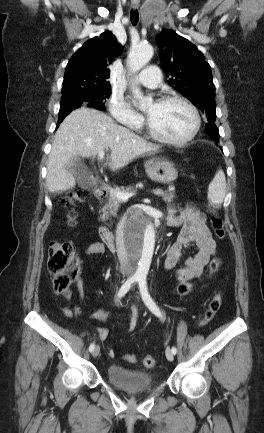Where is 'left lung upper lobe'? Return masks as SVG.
Masks as SVG:
<instances>
[{
	"instance_id": "left-lung-upper-lobe-1",
	"label": "left lung upper lobe",
	"mask_w": 264,
	"mask_h": 433,
	"mask_svg": "<svg viewBox=\"0 0 264 433\" xmlns=\"http://www.w3.org/2000/svg\"><path fill=\"white\" fill-rule=\"evenodd\" d=\"M156 42L168 83L203 112L207 133L217 139L215 88L205 57L195 45L171 30L160 32Z\"/></svg>"
}]
</instances>
